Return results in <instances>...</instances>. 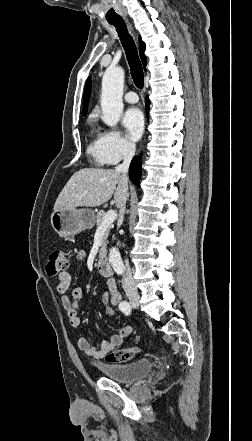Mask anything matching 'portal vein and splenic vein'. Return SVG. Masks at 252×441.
Returning a JSON list of instances; mask_svg holds the SVG:
<instances>
[{
  "label": "portal vein and splenic vein",
  "instance_id": "obj_1",
  "mask_svg": "<svg viewBox=\"0 0 252 441\" xmlns=\"http://www.w3.org/2000/svg\"><path fill=\"white\" fill-rule=\"evenodd\" d=\"M116 217H117L116 212L114 210H109L105 214L100 227L109 226L110 224H112L115 221Z\"/></svg>",
  "mask_w": 252,
  "mask_h": 441
}]
</instances>
